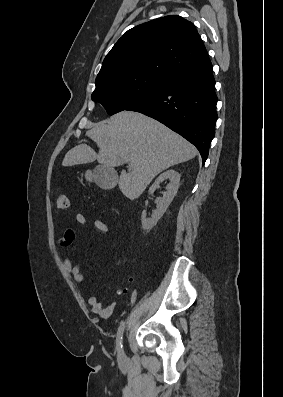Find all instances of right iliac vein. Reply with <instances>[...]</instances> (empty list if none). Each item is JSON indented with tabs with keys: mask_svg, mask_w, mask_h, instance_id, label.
<instances>
[{
	"mask_svg": "<svg viewBox=\"0 0 283 397\" xmlns=\"http://www.w3.org/2000/svg\"><path fill=\"white\" fill-rule=\"evenodd\" d=\"M124 356H125V354H124V351L122 350V351L118 354V357H119V359H123Z\"/></svg>",
	"mask_w": 283,
	"mask_h": 397,
	"instance_id": "right-iliac-vein-1",
	"label": "right iliac vein"
}]
</instances>
